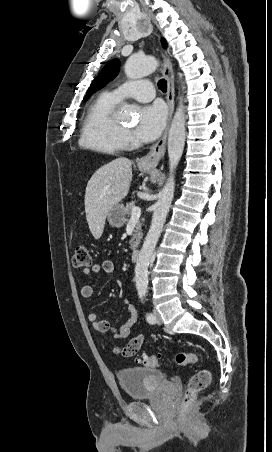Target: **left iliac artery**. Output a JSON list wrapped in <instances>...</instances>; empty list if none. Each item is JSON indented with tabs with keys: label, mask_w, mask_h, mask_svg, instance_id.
<instances>
[{
	"label": "left iliac artery",
	"mask_w": 272,
	"mask_h": 452,
	"mask_svg": "<svg viewBox=\"0 0 272 452\" xmlns=\"http://www.w3.org/2000/svg\"><path fill=\"white\" fill-rule=\"evenodd\" d=\"M143 299H144V298H141V301H142V302H143ZM146 320H147L149 323H151V324H154V323L156 322L155 316H154L153 314H151V313H147V314H146Z\"/></svg>",
	"instance_id": "obj_1"
}]
</instances>
